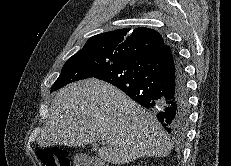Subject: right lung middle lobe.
<instances>
[{"label": "right lung middle lobe", "mask_w": 231, "mask_h": 166, "mask_svg": "<svg viewBox=\"0 0 231 166\" xmlns=\"http://www.w3.org/2000/svg\"><path fill=\"white\" fill-rule=\"evenodd\" d=\"M120 61H123L121 57L107 55L94 50H80L66 61L60 76L51 88V92L69 83L92 78L102 70Z\"/></svg>", "instance_id": "dd1d6c3e"}]
</instances>
